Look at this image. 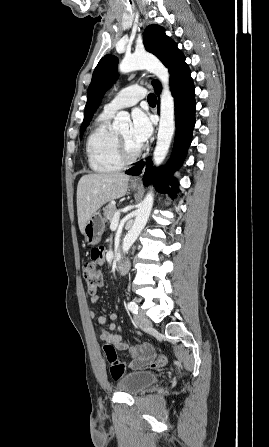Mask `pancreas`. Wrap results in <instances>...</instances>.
<instances>
[{"instance_id":"pancreas-1","label":"pancreas","mask_w":269,"mask_h":447,"mask_svg":"<svg viewBox=\"0 0 269 447\" xmlns=\"http://www.w3.org/2000/svg\"><path fill=\"white\" fill-rule=\"evenodd\" d=\"M116 212V206H113V204H108V206H106L105 210H104V220H106V222H112L113 220V216Z\"/></svg>"}]
</instances>
